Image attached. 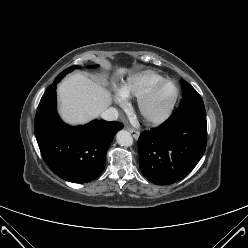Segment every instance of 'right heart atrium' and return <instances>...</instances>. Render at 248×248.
I'll return each mask as SVG.
<instances>
[{
	"instance_id": "obj_1",
	"label": "right heart atrium",
	"mask_w": 248,
	"mask_h": 248,
	"mask_svg": "<svg viewBox=\"0 0 248 248\" xmlns=\"http://www.w3.org/2000/svg\"><path fill=\"white\" fill-rule=\"evenodd\" d=\"M115 100H116V102L119 103V104H125V102H126V98H125L120 92H118V93L116 94Z\"/></svg>"
}]
</instances>
